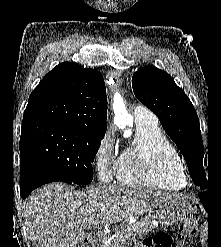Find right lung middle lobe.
<instances>
[{
    "instance_id": "dd1d6c3e",
    "label": "right lung middle lobe",
    "mask_w": 221,
    "mask_h": 247,
    "mask_svg": "<svg viewBox=\"0 0 221 247\" xmlns=\"http://www.w3.org/2000/svg\"><path fill=\"white\" fill-rule=\"evenodd\" d=\"M103 137L70 125L24 128L20 157H32L73 183L86 185L93 179L92 163Z\"/></svg>"
}]
</instances>
